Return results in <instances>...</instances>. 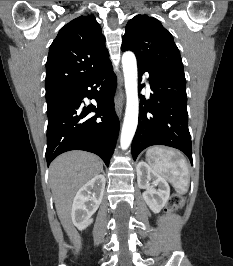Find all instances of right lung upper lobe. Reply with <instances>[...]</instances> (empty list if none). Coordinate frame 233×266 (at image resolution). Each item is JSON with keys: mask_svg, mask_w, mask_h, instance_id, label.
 <instances>
[{"mask_svg": "<svg viewBox=\"0 0 233 266\" xmlns=\"http://www.w3.org/2000/svg\"><path fill=\"white\" fill-rule=\"evenodd\" d=\"M105 37L92 15L62 27L50 46L46 62V93L72 90L110 64Z\"/></svg>", "mask_w": 233, "mask_h": 266, "instance_id": "1", "label": "right lung upper lobe"}]
</instances>
